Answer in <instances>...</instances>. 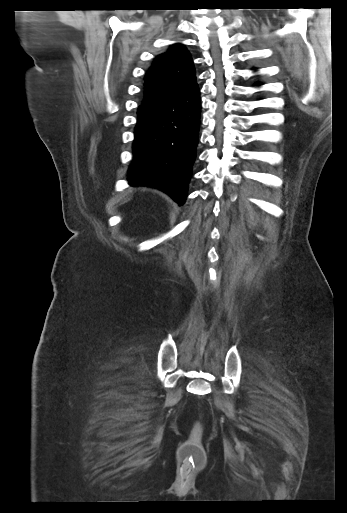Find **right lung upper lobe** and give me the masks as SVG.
Returning a JSON list of instances; mask_svg holds the SVG:
<instances>
[{"mask_svg": "<svg viewBox=\"0 0 347 513\" xmlns=\"http://www.w3.org/2000/svg\"><path fill=\"white\" fill-rule=\"evenodd\" d=\"M194 84L195 69L190 53L182 44H173L154 59L146 73L144 99L167 97Z\"/></svg>", "mask_w": 347, "mask_h": 513, "instance_id": "obj_1", "label": "right lung upper lobe"}]
</instances>
